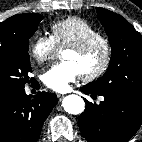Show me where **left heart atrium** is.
<instances>
[{"label":"left heart atrium","mask_w":142,"mask_h":142,"mask_svg":"<svg viewBox=\"0 0 142 142\" xmlns=\"http://www.w3.org/2000/svg\"><path fill=\"white\" fill-rule=\"evenodd\" d=\"M80 76L81 73L73 62L63 61L49 68L42 79L48 88L56 92H65Z\"/></svg>","instance_id":"39dd6f15"}]
</instances>
